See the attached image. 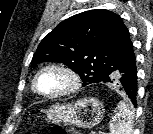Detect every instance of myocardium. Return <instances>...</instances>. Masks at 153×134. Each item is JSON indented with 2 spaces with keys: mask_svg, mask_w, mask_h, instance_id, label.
<instances>
[{
  "mask_svg": "<svg viewBox=\"0 0 153 134\" xmlns=\"http://www.w3.org/2000/svg\"><path fill=\"white\" fill-rule=\"evenodd\" d=\"M58 71L65 75V77L68 79V85L66 88H64L61 91H58L56 93H43L39 90L37 82L42 73L45 71ZM81 77L78 74L77 71H75L72 67L69 65H66L64 63H59V62H52L48 63L44 66H42L37 73L35 74L33 81H32V87L33 90L40 96L47 98V99H57L61 97L68 96L70 94L75 93L80 87H81Z\"/></svg>",
  "mask_w": 153,
  "mask_h": 134,
  "instance_id": "1",
  "label": "myocardium"
}]
</instances>
